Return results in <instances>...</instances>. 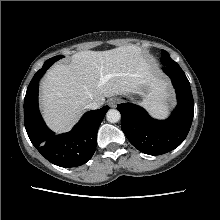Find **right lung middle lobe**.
Here are the masks:
<instances>
[{"mask_svg": "<svg viewBox=\"0 0 220 220\" xmlns=\"http://www.w3.org/2000/svg\"><path fill=\"white\" fill-rule=\"evenodd\" d=\"M61 58H63V56H55V57H53L52 59L59 60V59H61Z\"/></svg>", "mask_w": 220, "mask_h": 220, "instance_id": "dd1d6c3e", "label": "right lung middle lobe"}]
</instances>
